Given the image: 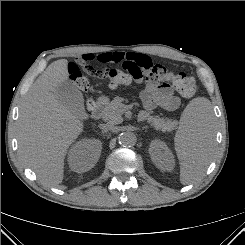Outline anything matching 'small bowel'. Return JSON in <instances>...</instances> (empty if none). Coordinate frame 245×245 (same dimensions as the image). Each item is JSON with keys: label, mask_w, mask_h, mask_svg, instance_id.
Here are the masks:
<instances>
[{"label": "small bowel", "mask_w": 245, "mask_h": 245, "mask_svg": "<svg viewBox=\"0 0 245 245\" xmlns=\"http://www.w3.org/2000/svg\"><path fill=\"white\" fill-rule=\"evenodd\" d=\"M96 60L102 63H120L131 60L139 68L140 74L131 79L138 84H142L144 78L147 80L146 86L141 92V99L146 110L141 114L142 118L146 117L147 111L157 107L165 111H174L180 106V99L170 86L147 79V73L153 65L147 55L133 52H103L96 56Z\"/></svg>", "instance_id": "c3829d8e"}]
</instances>
